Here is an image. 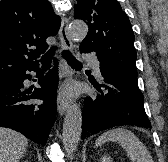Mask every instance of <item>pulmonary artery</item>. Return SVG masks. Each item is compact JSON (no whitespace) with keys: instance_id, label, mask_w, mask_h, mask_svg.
Returning a JSON list of instances; mask_svg holds the SVG:
<instances>
[{"instance_id":"e3ab8cb5","label":"pulmonary artery","mask_w":168,"mask_h":162,"mask_svg":"<svg viewBox=\"0 0 168 162\" xmlns=\"http://www.w3.org/2000/svg\"><path fill=\"white\" fill-rule=\"evenodd\" d=\"M84 59L91 64L95 75L97 77H100L101 76V72H100V63H99V61L96 58H93L91 56H86Z\"/></svg>"}]
</instances>
